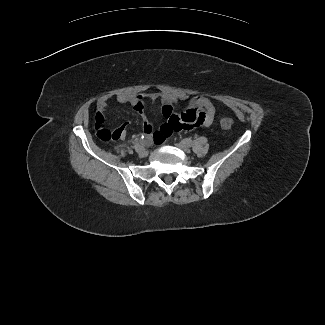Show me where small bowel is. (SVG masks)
Here are the masks:
<instances>
[{"label": "small bowel", "instance_id": "obj_1", "mask_svg": "<svg viewBox=\"0 0 325 325\" xmlns=\"http://www.w3.org/2000/svg\"><path fill=\"white\" fill-rule=\"evenodd\" d=\"M111 98H114L121 104H130L133 109L140 115L142 120L143 132L146 135L153 136L158 142H162L176 131H189L198 127H207L214 120L216 108L213 102L206 97L194 96L189 97L185 93H146L130 94L119 93L115 95H104L97 102V111L95 114V123L102 125L105 123V110ZM189 100L188 108L185 112L178 114L174 106L183 100ZM161 103V114L166 119L159 130L154 129L153 122L145 113L146 102ZM128 122L122 123L114 130L121 132L120 138L126 135Z\"/></svg>", "mask_w": 325, "mask_h": 325}]
</instances>
